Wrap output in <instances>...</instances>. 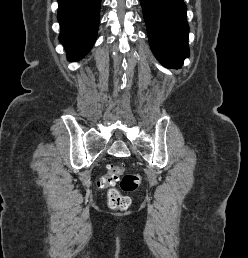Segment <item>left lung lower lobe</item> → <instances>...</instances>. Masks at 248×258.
Wrapping results in <instances>:
<instances>
[{
    "label": "left lung lower lobe",
    "mask_w": 248,
    "mask_h": 258,
    "mask_svg": "<svg viewBox=\"0 0 248 258\" xmlns=\"http://www.w3.org/2000/svg\"><path fill=\"white\" fill-rule=\"evenodd\" d=\"M151 49L164 65H181L189 56L183 0H140Z\"/></svg>",
    "instance_id": "left-lung-lower-lobe-1"
}]
</instances>
